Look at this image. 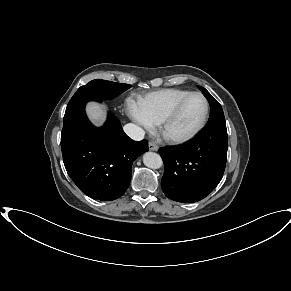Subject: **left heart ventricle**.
<instances>
[{
	"label": "left heart ventricle",
	"mask_w": 291,
	"mask_h": 291,
	"mask_svg": "<svg viewBox=\"0 0 291 291\" xmlns=\"http://www.w3.org/2000/svg\"><path fill=\"white\" fill-rule=\"evenodd\" d=\"M204 101L198 96L188 100L179 116L169 127V134L183 135L193 130L200 122L204 113Z\"/></svg>",
	"instance_id": "1"
}]
</instances>
